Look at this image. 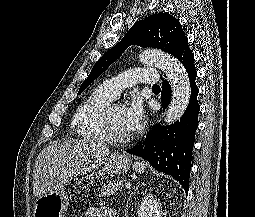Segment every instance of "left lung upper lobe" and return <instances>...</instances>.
Segmentation results:
<instances>
[{
	"label": "left lung upper lobe",
	"instance_id": "left-lung-upper-lobe-1",
	"mask_svg": "<svg viewBox=\"0 0 255 217\" xmlns=\"http://www.w3.org/2000/svg\"><path fill=\"white\" fill-rule=\"evenodd\" d=\"M130 45L153 47L173 56L188 46V40L180 22L167 13H157L136 22L122 40L108 50L93 66L82 83L78 95L100 76Z\"/></svg>",
	"mask_w": 255,
	"mask_h": 217
}]
</instances>
